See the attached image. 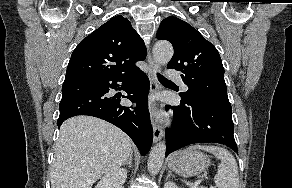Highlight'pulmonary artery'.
Segmentation results:
<instances>
[{
	"label": "pulmonary artery",
	"instance_id": "pulmonary-artery-1",
	"mask_svg": "<svg viewBox=\"0 0 292 188\" xmlns=\"http://www.w3.org/2000/svg\"><path fill=\"white\" fill-rule=\"evenodd\" d=\"M167 77L169 78V79H173V80H178V81H180V74L177 72V71H175V70H173V69H168L167 70ZM181 85L185 88L186 86L183 84V83H181Z\"/></svg>",
	"mask_w": 292,
	"mask_h": 188
}]
</instances>
